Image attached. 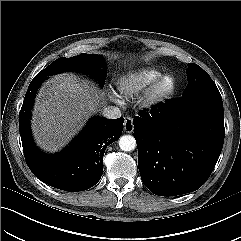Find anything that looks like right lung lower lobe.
<instances>
[{"label":"right lung lower lobe","mask_w":241,"mask_h":241,"mask_svg":"<svg viewBox=\"0 0 241 241\" xmlns=\"http://www.w3.org/2000/svg\"><path fill=\"white\" fill-rule=\"evenodd\" d=\"M42 81L32 80L20 111L19 130L27 165L38 179L54 188L87 190L100 180L104 152L121 136L124 118H93L62 152L54 155L43 153L34 144L29 127L34 95Z\"/></svg>","instance_id":"1"}]
</instances>
